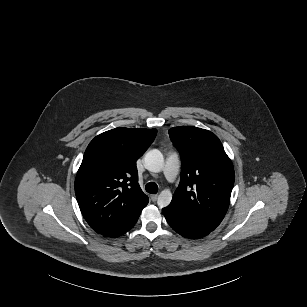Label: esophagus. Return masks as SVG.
<instances>
[{
  "instance_id": "1",
  "label": "esophagus",
  "mask_w": 307,
  "mask_h": 307,
  "mask_svg": "<svg viewBox=\"0 0 307 307\" xmlns=\"http://www.w3.org/2000/svg\"><path fill=\"white\" fill-rule=\"evenodd\" d=\"M158 195L157 194H151L150 198L152 200V202H155L157 200Z\"/></svg>"
}]
</instances>
